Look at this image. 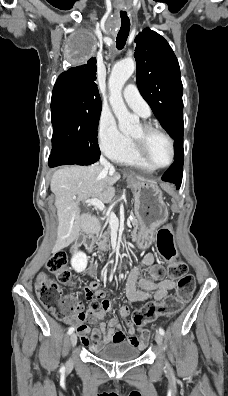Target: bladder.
I'll list each match as a JSON object with an SVG mask.
<instances>
[{"instance_id": "1", "label": "bladder", "mask_w": 228, "mask_h": 396, "mask_svg": "<svg viewBox=\"0 0 228 396\" xmlns=\"http://www.w3.org/2000/svg\"><path fill=\"white\" fill-rule=\"evenodd\" d=\"M142 349L127 341H116L104 345L93 352L98 358L108 362H129L141 355Z\"/></svg>"}]
</instances>
